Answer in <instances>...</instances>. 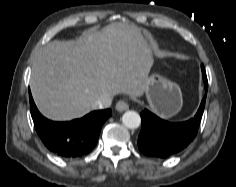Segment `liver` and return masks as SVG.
<instances>
[{
    "label": "liver",
    "instance_id": "obj_1",
    "mask_svg": "<svg viewBox=\"0 0 236 187\" xmlns=\"http://www.w3.org/2000/svg\"><path fill=\"white\" fill-rule=\"evenodd\" d=\"M153 43L134 24L112 23L77 40L52 41L32 65L30 88L40 112L66 121L90 112L101 96L139 97L149 82Z\"/></svg>",
    "mask_w": 236,
    "mask_h": 187
}]
</instances>
